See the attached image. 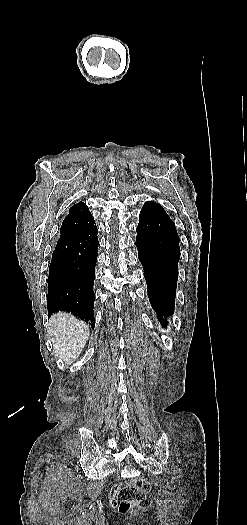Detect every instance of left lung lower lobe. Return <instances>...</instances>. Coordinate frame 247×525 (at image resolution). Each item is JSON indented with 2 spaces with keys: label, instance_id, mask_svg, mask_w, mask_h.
Returning a JSON list of instances; mask_svg holds the SVG:
<instances>
[{
  "label": "left lung lower lobe",
  "instance_id": "1",
  "mask_svg": "<svg viewBox=\"0 0 247 525\" xmlns=\"http://www.w3.org/2000/svg\"><path fill=\"white\" fill-rule=\"evenodd\" d=\"M136 231L138 257L144 268L151 306L159 315L167 317L174 312L179 236L173 222L146 214H140ZM162 324L167 325V321Z\"/></svg>",
  "mask_w": 247,
  "mask_h": 525
}]
</instances>
